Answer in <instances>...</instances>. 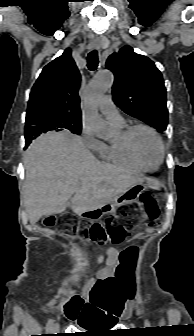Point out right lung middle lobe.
Here are the masks:
<instances>
[{
    "label": "right lung middle lobe",
    "mask_w": 194,
    "mask_h": 336,
    "mask_svg": "<svg viewBox=\"0 0 194 336\" xmlns=\"http://www.w3.org/2000/svg\"><path fill=\"white\" fill-rule=\"evenodd\" d=\"M36 124H40V125L25 126V136L45 129V127L42 126V124H44V123L40 122V123H36ZM58 127H59L58 131L67 129V130H69L72 133L77 134V135H80V132H81V125H75L74 126V125L61 124Z\"/></svg>",
    "instance_id": "dd1d6c3e"
}]
</instances>
